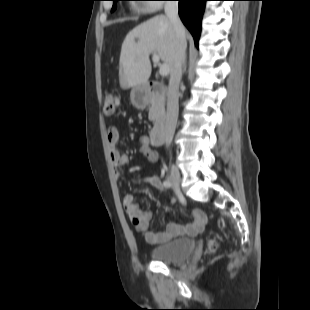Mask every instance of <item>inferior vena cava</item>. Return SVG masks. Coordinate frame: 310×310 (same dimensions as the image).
<instances>
[{"label":"inferior vena cava","instance_id":"inferior-vena-cava-1","mask_svg":"<svg viewBox=\"0 0 310 310\" xmlns=\"http://www.w3.org/2000/svg\"><path fill=\"white\" fill-rule=\"evenodd\" d=\"M165 14L175 31V52L168 86L167 112L162 128L164 142L166 147H169L173 140L178 119V89L182 77V66L185 60L187 43L185 29L178 15V1H167L165 3Z\"/></svg>","mask_w":310,"mask_h":310}]
</instances>
